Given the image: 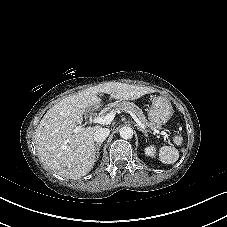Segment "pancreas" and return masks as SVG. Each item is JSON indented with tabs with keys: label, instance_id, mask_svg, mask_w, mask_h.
Segmentation results:
<instances>
[{
	"label": "pancreas",
	"instance_id": "pancreas-1",
	"mask_svg": "<svg viewBox=\"0 0 227 227\" xmlns=\"http://www.w3.org/2000/svg\"><path fill=\"white\" fill-rule=\"evenodd\" d=\"M105 111L108 112H119V111H130L133 114H135L137 116V118L145 125H147L148 127H153V128H160V126L158 124H155L153 122H149L143 111L136 106L134 103L131 102H127V101H122V102H115L112 105H110L109 107H107L105 109Z\"/></svg>",
	"mask_w": 227,
	"mask_h": 227
}]
</instances>
